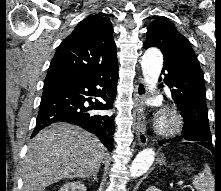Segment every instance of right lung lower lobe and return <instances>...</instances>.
I'll return each mask as SVG.
<instances>
[{"mask_svg": "<svg viewBox=\"0 0 221 191\" xmlns=\"http://www.w3.org/2000/svg\"><path fill=\"white\" fill-rule=\"evenodd\" d=\"M118 67L95 76L44 83L43 94L31 137L55 122L78 125L98 135L109 151L113 148L114 117L94 114V110H108L116 97ZM101 97L105 103L95 102ZM89 102V106L84 105Z\"/></svg>", "mask_w": 221, "mask_h": 191, "instance_id": "98d812e1", "label": "right lung lower lobe"}]
</instances>
